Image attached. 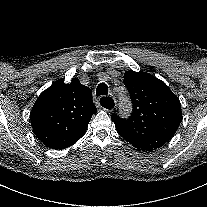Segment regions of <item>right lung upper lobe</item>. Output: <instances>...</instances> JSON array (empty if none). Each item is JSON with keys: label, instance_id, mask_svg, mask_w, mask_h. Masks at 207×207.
Listing matches in <instances>:
<instances>
[{"label": "right lung upper lobe", "instance_id": "1", "mask_svg": "<svg viewBox=\"0 0 207 207\" xmlns=\"http://www.w3.org/2000/svg\"><path fill=\"white\" fill-rule=\"evenodd\" d=\"M96 112L90 88L78 79L69 84L60 80L38 97L31 111V125L36 137L47 147L62 150L85 134Z\"/></svg>", "mask_w": 207, "mask_h": 207}]
</instances>
